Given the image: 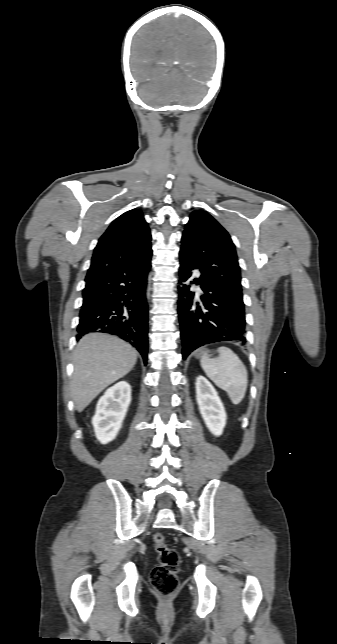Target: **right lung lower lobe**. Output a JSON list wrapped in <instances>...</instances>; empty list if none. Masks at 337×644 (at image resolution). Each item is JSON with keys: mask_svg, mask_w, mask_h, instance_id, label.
I'll use <instances>...</instances> for the list:
<instances>
[{"mask_svg": "<svg viewBox=\"0 0 337 644\" xmlns=\"http://www.w3.org/2000/svg\"><path fill=\"white\" fill-rule=\"evenodd\" d=\"M150 260L151 256L138 264L120 266L86 284L77 340L91 332L117 335L134 346L147 364L145 288Z\"/></svg>", "mask_w": 337, "mask_h": 644, "instance_id": "98d812e1", "label": "right lung lower lobe"}]
</instances>
